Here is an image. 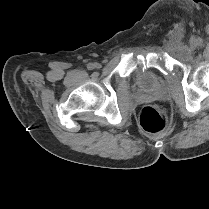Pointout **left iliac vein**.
I'll use <instances>...</instances> for the list:
<instances>
[{
  "mask_svg": "<svg viewBox=\"0 0 209 209\" xmlns=\"http://www.w3.org/2000/svg\"><path fill=\"white\" fill-rule=\"evenodd\" d=\"M190 46H191V49H195V48H196V43H195V41H192L191 44H190Z\"/></svg>",
  "mask_w": 209,
  "mask_h": 209,
  "instance_id": "1",
  "label": "left iliac vein"
}]
</instances>
